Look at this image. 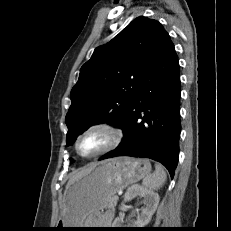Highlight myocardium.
<instances>
[{"instance_id":"obj_1","label":"myocardium","mask_w":231,"mask_h":231,"mask_svg":"<svg viewBox=\"0 0 231 231\" xmlns=\"http://www.w3.org/2000/svg\"><path fill=\"white\" fill-rule=\"evenodd\" d=\"M97 129H102L107 131L110 136H111V141L110 143L104 147L102 150L98 151L95 154L92 155H83L80 153L79 151V141L80 139L87 134L90 131L93 130H97ZM123 140V131L116 126L115 124L111 123V122H107V121H98V122H94L90 125H88L86 128H84L76 137L75 139V143H74V148L76 153L83 159H94V158H98L101 157L105 154L110 153L111 151H113L114 149H116L120 143Z\"/></svg>"}]
</instances>
